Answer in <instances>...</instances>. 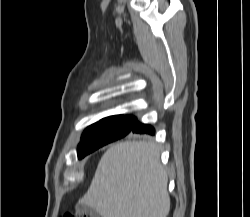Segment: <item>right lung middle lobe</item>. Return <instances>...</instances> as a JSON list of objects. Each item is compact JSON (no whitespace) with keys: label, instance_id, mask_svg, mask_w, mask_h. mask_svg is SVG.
Returning <instances> with one entry per match:
<instances>
[{"label":"right lung middle lobe","instance_id":"right-lung-middle-lobe-1","mask_svg":"<svg viewBox=\"0 0 250 217\" xmlns=\"http://www.w3.org/2000/svg\"><path fill=\"white\" fill-rule=\"evenodd\" d=\"M137 120L134 116H110L89 126L78 146V157L83 158L96 149L131 133Z\"/></svg>","mask_w":250,"mask_h":217}]
</instances>
